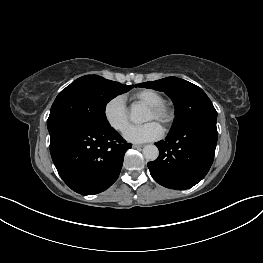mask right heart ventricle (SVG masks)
<instances>
[{"instance_id": "obj_1", "label": "right heart ventricle", "mask_w": 263, "mask_h": 263, "mask_svg": "<svg viewBox=\"0 0 263 263\" xmlns=\"http://www.w3.org/2000/svg\"><path fill=\"white\" fill-rule=\"evenodd\" d=\"M132 98L147 106L164 102L163 96L153 89H140L132 94Z\"/></svg>"}]
</instances>
